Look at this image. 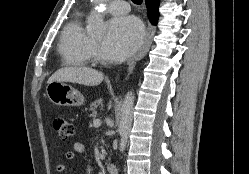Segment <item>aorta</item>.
I'll return each mask as SVG.
<instances>
[{"instance_id":"1","label":"aorta","mask_w":249,"mask_h":174,"mask_svg":"<svg viewBox=\"0 0 249 174\" xmlns=\"http://www.w3.org/2000/svg\"><path fill=\"white\" fill-rule=\"evenodd\" d=\"M107 1L108 0H93V3L99 6L106 3ZM105 29L106 24L104 22L103 16L98 10L94 9L88 17V33L91 35H101L102 33H104ZM134 99V94L132 92H128L120 109V124L118 130L121 136V152L125 151L128 135L132 126Z\"/></svg>"}]
</instances>
